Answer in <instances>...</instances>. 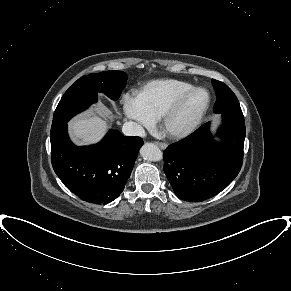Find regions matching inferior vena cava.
<instances>
[{"label":"inferior vena cava","instance_id":"602c4592","mask_svg":"<svg viewBox=\"0 0 291 291\" xmlns=\"http://www.w3.org/2000/svg\"><path fill=\"white\" fill-rule=\"evenodd\" d=\"M122 132L124 135H127V136H140V137L145 136L144 128L138 123L133 122V121H128L124 123Z\"/></svg>","mask_w":291,"mask_h":291}]
</instances>
